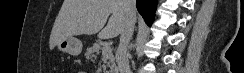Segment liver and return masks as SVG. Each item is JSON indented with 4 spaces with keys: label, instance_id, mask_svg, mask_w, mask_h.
<instances>
[{
    "label": "liver",
    "instance_id": "6515ba94",
    "mask_svg": "<svg viewBox=\"0 0 244 73\" xmlns=\"http://www.w3.org/2000/svg\"><path fill=\"white\" fill-rule=\"evenodd\" d=\"M125 23L121 0H64L51 31L49 47L52 50L61 40L74 35L98 33L100 39L114 38L121 34Z\"/></svg>",
    "mask_w": 244,
    "mask_h": 73
}]
</instances>
